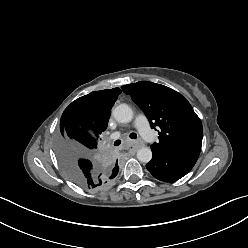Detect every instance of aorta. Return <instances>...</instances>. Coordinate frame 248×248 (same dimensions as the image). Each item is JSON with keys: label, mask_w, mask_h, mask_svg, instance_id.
Returning <instances> with one entry per match:
<instances>
[{"label": "aorta", "mask_w": 248, "mask_h": 248, "mask_svg": "<svg viewBox=\"0 0 248 248\" xmlns=\"http://www.w3.org/2000/svg\"><path fill=\"white\" fill-rule=\"evenodd\" d=\"M116 121L129 123L133 119V111L127 104H119L112 112ZM137 159L142 163H148L152 159V151L148 147H143L137 151Z\"/></svg>", "instance_id": "762f6f07"}]
</instances>
